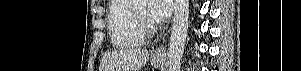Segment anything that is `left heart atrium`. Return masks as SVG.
Masks as SVG:
<instances>
[{
	"label": "left heart atrium",
	"mask_w": 301,
	"mask_h": 71,
	"mask_svg": "<svg viewBox=\"0 0 301 71\" xmlns=\"http://www.w3.org/2000/svg\"><path fill=\"white\" fill-rule=\"evenodd\" d=\"M172 8L171 0H150L149 17L154 23H161L169 16Z\"/></svg>",
	"instance_id": "obj_1"
}]
</instances>
